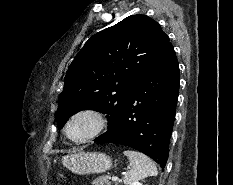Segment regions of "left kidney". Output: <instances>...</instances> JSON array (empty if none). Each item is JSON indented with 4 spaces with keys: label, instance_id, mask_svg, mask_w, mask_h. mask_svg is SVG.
<instances>
[{
    "label": "left kidney",
    "instance_id": "left-kidney-1",
    "mask_svg": "<svg viewBox=\"0 0 233 185\" xmlns=\"http://www.w3.org/2000/svg\"><path fill=\"white\" fill-rule=\"evenodd\" d=\"M132 185H143V184L140 183V182H135V183H133Z\"/></svg>",
    "mask_w": 233,
    "mask_h": 185
}]
</instances>
